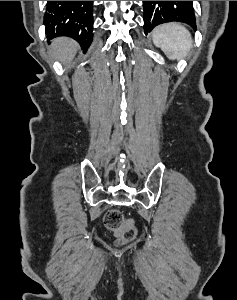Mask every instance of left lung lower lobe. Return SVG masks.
<instances>
[{
  "label": "left lung lower lobe",
  "mask_w": 237,
  "mask_h": 300,
  "mask_svg": "<svg viewBox=\"0 0 237 300\" xmlns=\"http://www.w3.org/2000/svg\"><path fill=\"white\" fill-rule=\"evenodd\" d=\"M143 2H144V6L145 5H156V4L161 3V1H143ZM172 2L181 4V5H185V6L193 9L191 1H172Z\"/></svg>",
  "instance_id": "obj_1"
}]
</instances>
